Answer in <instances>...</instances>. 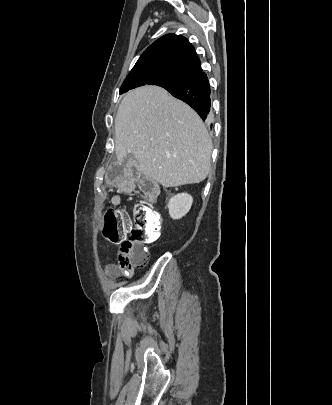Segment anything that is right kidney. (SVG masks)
I'll list each match as a JSON object with an SVG mask.
<instances>
[{"label":"right kidney","mask_w":332,"mask_h":405,"mask_svg":"<svg viewBox=\"0 0 332 405\" xmlns=\"http://www.w3.org/2000/svg\"><path fill=\"white\" fill-rule=\"evenodd\" d=\"M193 203V198L190 194L180 193L173 196L168 202V210L172 219H180L185 216Z\"/></svg>","instance_id":"obj_1"}]
</instances>
